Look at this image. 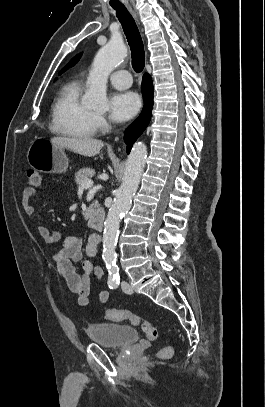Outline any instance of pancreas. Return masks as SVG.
<instances>
[{
    "instance_id": "obj_1",
    "label": "pancreas",
    "mask_w": 265,
    "mask_h": 407,
    "mask_svg": "<svg viewBox=\"0 0 265 407\" xmlns=\"http://www.w3.org/2000/svg\"><path fill=\"white\" fill-rule=\"evenodd\" d=\"M94 175H95L94 169H91V168H83V169H80V170L75 174V182H76V184H77L78 186H80L81 183H82L84 180L91 179ZM98 206H99L98 202H97V201H94V202L90 205L89 209L92 210L93 208H97Z\"/></svg>"
}]
</instances>
